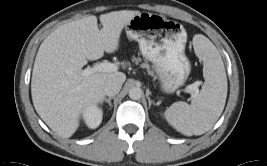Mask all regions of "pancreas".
<instances>
[{
  "label": "pancreas",
  "instance_id": "cf45deb5",
  "mask_svg": "<svg viewBox=\"0 0 267 166\" xmlns=\"http://www.w3.org/2000/svg\"><path fill=\"white\" fill-rule=\"evenodd\" d=\"M133 61L138 64L140 62V58H133ZM141 67L146 68L148 70L149 74H153V72L150 70V66L147 62H144L141 64Z\"/></svg>",
  "mask_w": 267,
  "mask_h": 166
}]
</instances>
